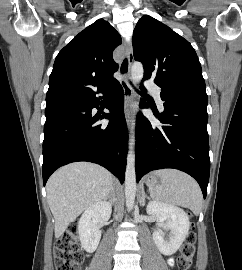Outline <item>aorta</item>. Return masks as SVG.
<instances>
[{
  "mask_svg": "<svg viewBox=\"0 0 242 270\" xmlns=\"http://www.w3.org/2000/svg\"><path fill=\"white\" fill-rule=\"evenodd\" d=\"M144 69L140 62H134L131 67V79L134 85H137L143 78ZM132 135L129 139V151L127 154V165L125 172V199L128 211H131L134 206L136 195V172H135V123L132 124Z\"/></svg>",
  "mask_w": 242,
  "mask_h": 270,
  "instance_id": "762f6f07",
  "label": "aorta"
}]
</instances>
